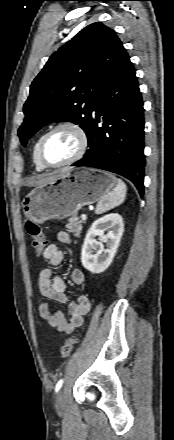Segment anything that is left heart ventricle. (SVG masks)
<instances>
[{"label":"left heart ventricle","instance_id":"obj_1","mask_svg":"<svg viewBox=\"0 0 174 440\" xmlns=\"http://www.w3.org/2000/svg\"><path fill=\"white\" fill-rule=\"evenodd\" d=\"M78 148V137L68 129L53 132L45 141L43 157L49 164H60L72 157Z\"/></svg>","mask_w":174,"mask_h":440}]
</instances>
